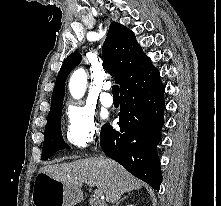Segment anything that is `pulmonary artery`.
<instances>
[{
	"mask_svg": "<svg viewBox=\"0 0 221 206\" xmlns=\"http://www.w3.org/2000/svg\"><path fill=\"white\" fill-rule=\"evenodd\" d=\"M109 89H110V84H108V83L104 84V86H103L104 92L100 96L101 103L106 107H110L113 104V98L108 93Z\"/></svg>",
	"mask_w": 221,
	"mask_h": 206,
	"instance_id": "e3ab8cb5",
	"label": "pulmonary artery"
}]
</instances>
